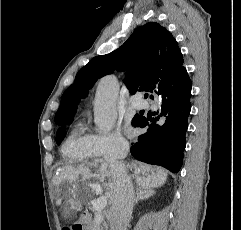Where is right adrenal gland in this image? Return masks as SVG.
<instances>
[{
  "label": "right adrenal gland",
  "mask_w": 241,
  "mask_h": 230,
  "mask_svg": "<svg viewBox=\"0 0 241 230\" xmlns=\"http://www.w3.org/2000/svg\"><path fill=\"white\" fill-rule=\"evenodd\" d=\"M155 194L153 189H143L140 186L137 187L135 203L137 204L140 200H145L152 197Z\"/></svg>",
  "instance_id": "1"
}]
</instances>
